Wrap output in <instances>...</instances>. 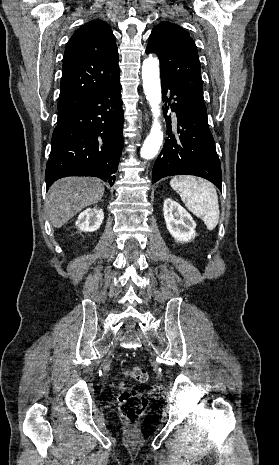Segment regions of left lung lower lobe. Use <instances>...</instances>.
Listing matches in <instances>:
<instances>
[{
  "label": "left lung lower lobe",
  "mask_w": 279,
  "mask_h": 465,
  "mask_svg": "<svg viewBox=\"0 0 279 465\" xmlns=\"http://www.w3.org/2000/svg\"><path fill=\"white\" fill-rule=\"evenodd\" d=\"M163 99L167 89L175 96L168 104L176 112L178 126L174 132L167 117V140L152 171V181L171 175H195L214 183L221 190V164L213 136L208 128L207 112L183 96L168 81L161 79ZM170 101V99H169ZM168 108L164 109L167 112Z\"/></svg>",
  "instance_id": "left-lung-lower-lobe-1"
}]
</instances>
